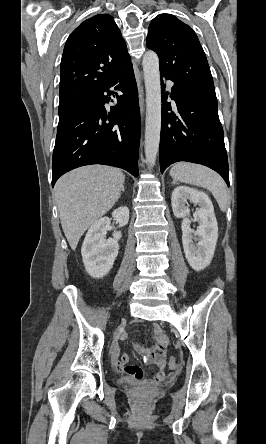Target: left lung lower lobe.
Returning a JSON list of instances; mask_svg holds the SVG:
<instances>
[{"instance_id": "obj_1", "label": "left lung lower lobe", "mask_w": 266, "mask_h": 444, "mask_svg": "<svg viewBox=\"0 0 266 444\" xmlns=\"http://www.w3.org/2000/svg\"><path fill=\"white\" fill-rule=\"evenodd\" d=\"M173 82L170 97L176 103L177 113H168L171 111V103L166 98L169 93L162 96L161 173L172 163L193 162L218 172L229 186L228 159L214 85ZM161 89L165 91L163 80Z\"/></svg>"}]
</instances>
